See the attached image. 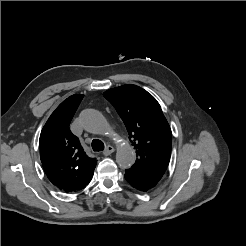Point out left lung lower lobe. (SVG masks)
Returning <instances> with one entry per match:
<instances>
[{
  "label": "left lung lower lobe",
  "mask_w": 246,
  "mask_h": 246,
  "mask_svg": "<svg viewBox=\"0 0 246 246\" xmlns=\"http://www.w3.org/2000/svg\"><path fill=\"white\" fill-rule=\"evenodd\" d=\"M124 176L132 187L144 192L152 189L158 183V181L151 176L132 167L126 170Z\"/></svg>",
  "instance_id": "left-lung-lower-lobe-1"
}]
</instances>
